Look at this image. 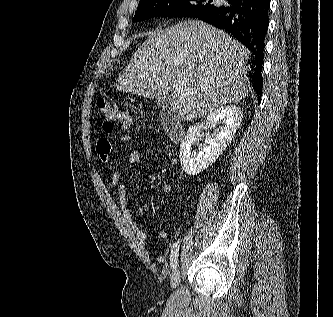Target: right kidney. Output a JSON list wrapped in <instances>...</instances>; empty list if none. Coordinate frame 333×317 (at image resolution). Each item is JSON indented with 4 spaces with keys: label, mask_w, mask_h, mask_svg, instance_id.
I'll return each mask as SVG.
<instances>
[{
    "label": "right kidney",
    "mask_w": 333,
    "mask_h": 317,
    "mask_svg": "<svg viewBox=\"0 0 333 317\" xmlns=\"http://www.w3.org/2000/svg\"><path fill=\"white\" fill-rule=\"evenodd\" d=\"M240 107L227 105L218 108L206 117L205 126H191L180 145L179 157L183 170L189 176H195L212 165L231 143L242 121ZM219 121L225 123L219 133L211 134L203 148L196 153L192 145L196 143L202 128H214Z\"/></svg>",
    "instance_id": "ca27d5eb"
}]
</instances>
